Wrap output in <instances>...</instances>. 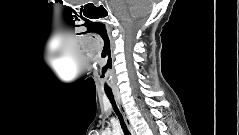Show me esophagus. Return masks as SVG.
Instances as JSON below:
<instances>
[{"instance_id": "34e87169", "label": "esophagus", "mask_w": 239, "mask_h": 135, "mask_svg": "<svg viewBox=\"0 0 239 135\" xmlns=\"http://www.w3.org/2000/svg\"><path fill=\"white\" fill-rule=\"evenodd\" d=\"M116 100H117V103H118L119 110H120L121 114L123 115L124 121H125L128 129L130 130L132 135H134L135 134L134 129H133L132 124L130 122V119H129L127 113H126V110L124 108V105L122 103V100H121L119 94H116Z\"/></svg>"}]
</instances>
